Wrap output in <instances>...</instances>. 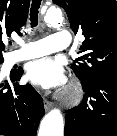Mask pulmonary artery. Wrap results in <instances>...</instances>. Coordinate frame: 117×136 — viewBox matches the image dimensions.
<instances>
[{
  "mask_svg": "<svg viewBox=\"0 0 117 136\" xmlns=\"http://www.w3.org/2000/svg\"><path fill=\"white\" fill-rule=\"evenodd\" d=\"M72 43L70 31L58 30L53 34L31 42L22 43V49L12 53L11 60L17 63L23 60L45 56L68 48Z\"/></svg>",
  "mask_w": 117,
  "mask_h": 136,
  "instance_id": "1",
  "label": "pulmonary artery"
}]
</instances>
